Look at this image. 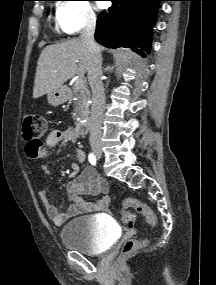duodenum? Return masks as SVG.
Masks as SVG:
<instances>
[{"mask_svg": "<svg viewBox=\"0 0 216 285\" xmlns=\"http://www.w3.org/2000/svg\"><path fill=\"white\" fill-rule=\"evenodd\" d=\"M77 129L81 134H86L90 129L89 117H83L80 119L77 125Z\"/></svg>", "mask_w": 216, "mask_h": 285, "instance_id": "duodenum-1", "label": "duodenum"}]
</instances>
